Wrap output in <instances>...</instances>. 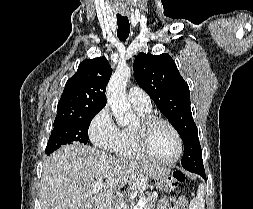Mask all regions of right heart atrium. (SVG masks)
Instances as JSON below:
<instances>
[{
  "mask_svg": "<svg viewBox=\"0 0 253 209\" xmlns=\"http://www.w3.org/2000/svg\"><path fill=\"white\" fill-rule=\"evenodd\" d=\"M89 138L93 145L99 149L115 150L121 141V129L113 120L108 108L101 109L91 120Z\"/></svg>",
  "mask_w": 253,
  "mask_h": 209,
  "instance_id": "obj_1",
  "label": "right heart atrium"
}]
</instances>
